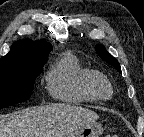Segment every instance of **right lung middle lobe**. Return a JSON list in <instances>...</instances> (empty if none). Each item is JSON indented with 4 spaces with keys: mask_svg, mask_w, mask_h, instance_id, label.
<instances>
[{
    "mask_svg": "<svg viewBox=\"0 0 144 137\" xmlns=\"http://www.w3.org/2000/svg\"><path fill=\"white\" fill-rule=\"evenodd\" d=\"M45 62L0 66V109L28 99Z\"/></svg>",
    "mask_w": 144,
    "mask_h": 137,
    "instance_id": "dd1d6c3e",
    "label": "right lung middle lobe"
}]
</instances>
